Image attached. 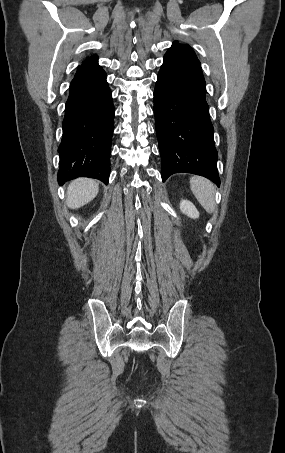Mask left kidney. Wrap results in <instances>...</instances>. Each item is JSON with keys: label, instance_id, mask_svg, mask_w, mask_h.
<instances>
[{"label": "left kidney", "instance_id": "5707ae66", "mask_svg": "<svg viewBox=\"0 0 285 453\" xmlns=\"http://www.w3.org/2000/svg\"><path fill=\"white\" fill-rule=\"evenodd\" d=\"M180 210L183 214L187 215L192 219L199 218V212L194 206V204L188 200H181L180 202Z\"/></svg>", "mask_w": 285, "mask_h": 453}]
</instances>
